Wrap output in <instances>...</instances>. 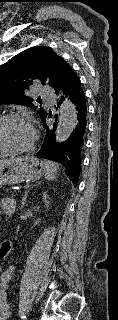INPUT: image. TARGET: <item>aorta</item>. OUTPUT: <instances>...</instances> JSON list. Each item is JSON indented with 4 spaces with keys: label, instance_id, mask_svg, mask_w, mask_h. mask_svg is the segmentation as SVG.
I'll return each instance as SVG.
<instances>
[{
    "label": "aorta",
    "instance_id": "762f6f07",
    "mask_svg": "<svg viewBox=\"0 0 118 320\" xmlns=\"http://www.w3.org/2000/svg\"><path fill=\"white\" fill-rule=\"evenodd\" d=\"M76 124V107L70 100L66 99L61 105L55 140L58 143L64 142L75 129Z\"/></svg>",
    "mask_w": 118,
    "mask_h": 320
}]
</instances>
